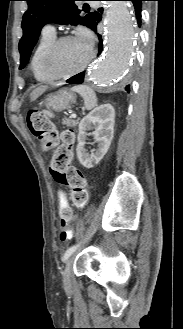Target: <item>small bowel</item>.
I'll return each instance as SVG.
<instances>
[{"instance_id": "small-bowel-1", "label": "small bowel", "mask_w": 183, "mask_h": 329, "mask_svg": "<svg viewBox=\"0 0 183 329\" xmlns=\"http://www.w3.org/2000/svg\"><path fill=\"white\" fill-rule=\"evenodd\" d=\"M55 194H57L58 199H67L68 198V187H55L54 189ZM63 206L58 207L57 217L58 218H71L73 207L66 206L67 204L64 202Z\"/></svg>"}]
</instances>
